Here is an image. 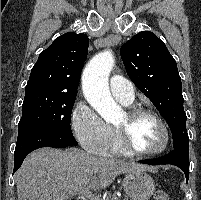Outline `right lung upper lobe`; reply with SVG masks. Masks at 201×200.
<instances>
[{
	"mask_svg": "<svg viewBox=\"0 0 201 200\" xmlns=\"http://www.w3.org/2000/svg\"><path fill=\"white\" fill-rule=\"evenodd\" d=\"M85 34L68 32L57 39L38 57L31 70L25 93L50 91L77 95L79 75L88 54Z\"/></svg>",
	"mask_w": 201,
	"mask_h": 200,
	"instance_id": "right-lung-upper-lobe-1",
	"label": "right lung upper lobe"
}]
</instances>
